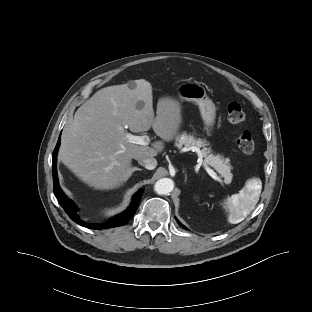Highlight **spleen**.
I'll list each match as a JSON object with an SVG mask.
<instances>
[{
  "label": "spleen",
  "mask_w": 312,
  "mask_h": 312,
  "mask_svg": "<svg viewBox=\"0 0 312 312\" xmlns=\"http://www.w3.org/2000/svg\"><path fill=\"white\" fill-rule=\"evenodd\" d=\"M261 193V183L253 180L250 187L238 194L229 207L228 221L237 224L244 220L247 215L255 208Z\"/></svg>",
  "instance_id": "spleen-1"
}]
</instances>
